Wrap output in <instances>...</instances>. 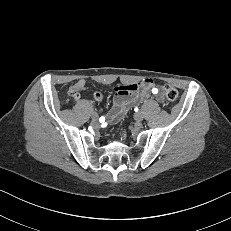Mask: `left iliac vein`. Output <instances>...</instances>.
<instances>
[{
    "instance_id": "obj_1",
    "label": "left iliac vein",
    "mask_w": 231,
    "mask_h": 231,
    "mask_svg": "<svg viewBox=\"0 0 231 231\" xmlns=\"http://www.w3.org/2000/svg\"><path fill=\"white\" fill-rule=\"evenodd\" d=\"M134 119L136 122L140 123L143 120V114L141 112H137L134 115Z\"/></svg>"
}]
</instances>
